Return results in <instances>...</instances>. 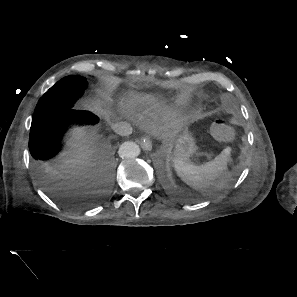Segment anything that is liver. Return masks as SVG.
<instances>
[{
	"label": "liver",
	"mask_w": 297,
	"mask_h": 297,
	"mask_svg": "<svg viewBox=\"0 0 297 297\" xmlns=\"http://www.w3.org/2000/svg\"><path fill=\"white\" fill-rule=\"evenodd\" d=\"M145 98L151 99L153 96L146 95ZM90 143V135L87 131L82 128L73 129L71 148L66 154L67 169L56 172L59 177L64 179L63 184L67 190L86 192L91 188V174L87 168L93 154Z\"/></svg>",
	"instance_id": "1"
}]
</instances>
